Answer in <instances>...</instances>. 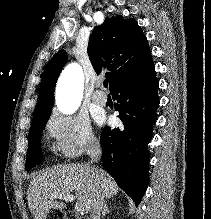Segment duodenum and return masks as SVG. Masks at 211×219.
I'll list each match as a JSON object with an SVG mask.
<instances>
[{
	"label": "duodenum",
	"mask_w": 211,
	"mask_h": 219,
	"mask_svg": "<svg viewBox=\"0 0 211 219\" xmlns=\"http://www.w3.org/2000/svg\"><path fill=\"white\" fill-rule=\"evenodd\" d=\"M64 219H79V218L75 214L68 212L64 214Z\"/></svg>",
	"instance_id": "duodenum-1"
}]
</instances>
